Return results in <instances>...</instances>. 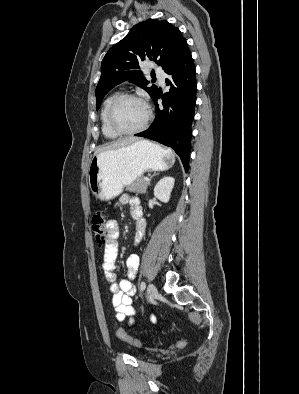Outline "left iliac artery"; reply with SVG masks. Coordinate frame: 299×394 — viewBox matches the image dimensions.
<instances>
[{
  "mask_svg": "<svg viewBox=\"0 0 299 394\" xmlns=\"http://www.w3.org/2000/svg\"><path fill=\"white\" fill-rule=\"evenodd\" d=\"M145 287H146L145 282H141L140 288H141L142 291L145 289Z\"/></svg>",
  "mask_w": 299,
  "mask_h": 394,
  "instance_id": "1",
  "label": "left iliac artery"
}]
</instances>
